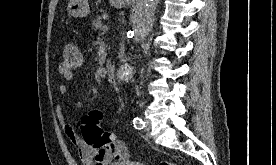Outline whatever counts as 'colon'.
Listing matches in <instances>:
<instances>
[{
	"instance_id": "colon-1",
	"label": "colon",
	"mask_w": 276,
	"mask_h": 165,
	"mask_svg": "<svg viewBox=\"0 0 276 165\" xmlns=\"http://www.w3.org/2000/svg\"><path fill=\"white\" fill-rule=\"evenodd\" d=\"M81 64V53L77 44L70 40L63 49L59 71L61 75L72 74ZM103 113L93 110L83 117L81 132L86 144L101 153H111L115 159L126 157L127 151L122 145V140L115 134L107 132L101 127ZM159 165H176L171 162L162 161Z\"/></svg>"
}]
</instances>
